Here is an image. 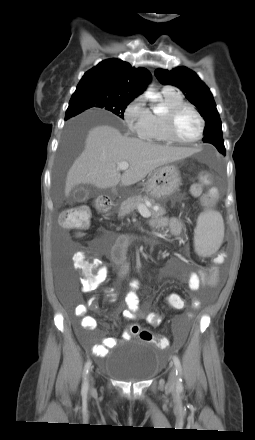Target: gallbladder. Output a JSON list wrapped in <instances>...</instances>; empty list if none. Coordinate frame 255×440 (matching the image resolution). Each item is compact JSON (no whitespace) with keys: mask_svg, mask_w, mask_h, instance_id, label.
<instances>
[{"mask_svg":"<svg viewBox=\"0 0 255 440\" xmlns=\"http://www.w3.org/2000/svg\"><path fill=\"white\" fill-rule=\"evenodd\" d=\"M90 192L84 187H77L71 193L72 202H83L88 199Z\"/></svg>","mask_w":255,"mask_h":440,"instance_id":"bac80fb5","label":"gallbladder"}]
</instances>
